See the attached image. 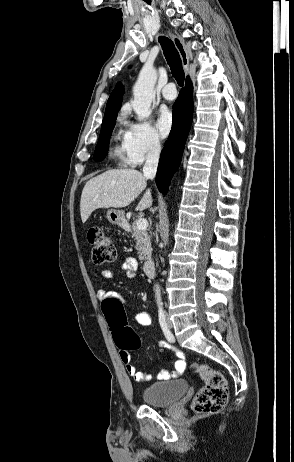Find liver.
Returning a JSON list of instances; mask_svg holds the SVG:
<instances>
[{
	"label": "liver",
	"mask_w": 294,
	"mask_h": 462,
	"mask_svg": "<svg viewBox=\"0 0 294 462\" xmlns=\"http://www.w3.org/2000/svg\"><path fill=\"white\" fill-rule=\"evenodd\" d=\"M147 186V178L134 169L108 170L84 186L80 213L83 223L98 208H123L131 204ZM152 205L151 190L147 189L139 201L136 211H143Z\"/></svg>",
	"instance_id": "6515ba94"
}]
</instances>
